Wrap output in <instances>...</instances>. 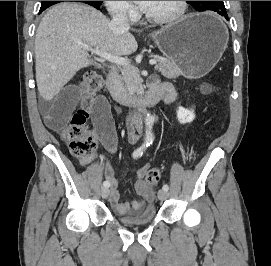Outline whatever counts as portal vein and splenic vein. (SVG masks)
Wrapping results in <instances>:
<instances>
[{"label":"portal vein and splenic vein","instance_id":"portal-vein-and-splenic-vein-1","mask_svg":"<svg viewBox=\"0 0 271 266\" xmlns=\"http://www.w3.org/2000/svg\"><path fill=\"white\" fill-rule=\"evenodd\" d=\"M83 48L88 51H91L92 53L98 55L99 57L106 59L114 64H118V65H122V66H129L130 65L129 61L126 58H123L120 56H114V55H111L105 51L99 50L97 48H92L87 45H83ZM149 64L152 66L156 65L157 61L155 59H152L149 61Z\"/></svg>","mask_w":271,"mask_h":266}]
</instances>
